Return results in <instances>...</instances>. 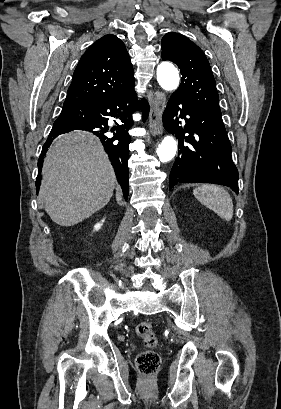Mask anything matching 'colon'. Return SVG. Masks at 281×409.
I'll return each instance as SVG.
<instances>
[{
    "instance_id": "5ec220e1",
    "label": "colon",
    "mask_w": 281,
    "mask_h": 409,
    "mask_svg": "<svg viewBox=\"0 0 281 409\" xmlns=\"http://www.w3.org/2000/svg\"><path fill=\"white\" fill-rule=\"evenodd\" d=\"M137 334L144 339V344L148 348H155L158 345L157 336L153 330L152 324L139 323L136 326ZM161 359L153 350H147L140 354L137 358V368L145 373L151 374L159 367Z\"/></svg>"
}]
</instances>
